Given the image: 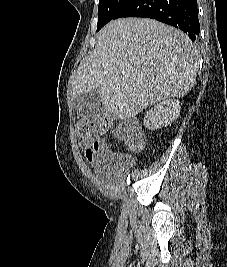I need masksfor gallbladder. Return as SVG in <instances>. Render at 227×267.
Wrapping results in <instances>:
<instances>
[{"label":"gallbladder","mask_w":227,"mask_h":267,"mask_svg":"<svg viewBox=\"0 0 227 267\" xmlns=\"http://www.w3.org/2000/svg\"><path fill=\"white\" fill-rule=\"evenodd\" d=\"M101 100L96 91H91L77 97L75 100L76 111L82 116H93L101 108Z\"/></svg>","instance_id":"1"}]
</instances>
